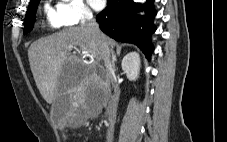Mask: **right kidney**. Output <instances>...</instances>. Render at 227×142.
Returning <instances> with one entry per match:
<instances>
[{
    "mask_svg": "<svg viewBox=\"0 0 227 142\" xmlns=\"http://www.w3.org/2000/svg\"><path fill=\"white\" fill-rule=\"evenodd\" d=\"M122 70L130 81H135L139 76L140 58L136 52L128 53L122 60Z\"/></svg>",
    "mask_w": 227,
    "mask_h": 142,
    "instance_id": "ca27d5eb",
    "label": "right kidney"
}]
</instances>
